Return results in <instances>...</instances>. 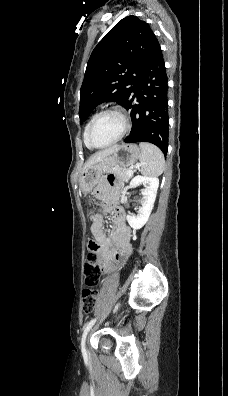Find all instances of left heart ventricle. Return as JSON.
Segmentation results:
<instances>
[{"label":"left heart ventricle","instance_id":"left-heart-ventricle-1","mask_svg":"<svg viewBox=\"0 0 228 396\" xmlns=\"http://www.w3.org/2000/svg\"><path fill=\"white\" fill-rule=\"evenodd\" d=\"M123 122L116 114H106L98 119L91 134L92 142L102 146L113 141L122 131Z\"/></svg>","mask_w":228,"mask_h":396}]
</instances>
